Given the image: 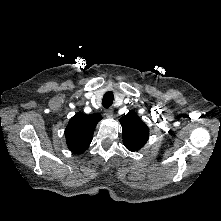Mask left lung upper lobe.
Wrapping results in <instances>:
<instances>
[{
    "mask_svg": "<svg viewBox=\"0 0 221 221\" xmlns=\"http://www.w3.org/2000/svg\"><path fill=\"white\" fill-rule=\"evenodd\" d=\"M122 125L123 143L130 151H138L148 140L149 128L139 118L136 112L129 113L120 119Z\"/></svg>",
    "mask_w": 221,
    "mask_h": 221,
    "instance_id": "left-lung-upper-lobe-1",
    "label": "left lung upper lobe"
}]
</instances>
